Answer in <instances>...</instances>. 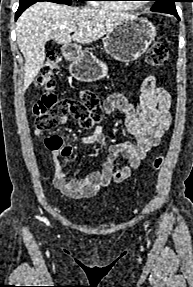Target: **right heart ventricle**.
I'll return each instance as SVG.
<instances>
[{"label":"right heart ventricle","mask_w":193,"mask_h":287,"mask_svg":"<svg viewBox=\"0 0 193 287\" xmlns=\"http://www.w3.org/2000/svg\"><path fill=\"white\" fill-rule=\"evenodd\" d=\"M104 3L100 4L99 7L105 10H113V11H131V8L119 4L113 0L103 1Z\"/></svg>","instance_id":"e07e8e85"}]
</instances>
